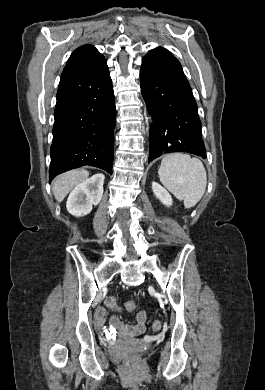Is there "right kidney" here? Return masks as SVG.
Instances as JSON below:
<instances>
[{
  "mask_svg": "<svg viewBox=\"0 0 265 390\" xmlns=\"http://www.w3.org/2000/svg\"><path fill=\"white\" fill-rule=\"evenodd\" d=\"M104 179L103 174H95L77 185L67 199L68 212L77 217L89 214L102 198Z\"/></svg>",
  "mask_w": 265,
  "mask_h": 390,
  "instance_id": "obj_1",
  "label": "right kidney"
}]
</instances>
